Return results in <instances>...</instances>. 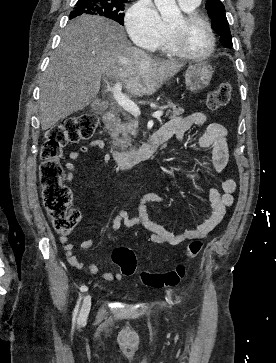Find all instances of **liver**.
<instances>
[{"instance_id": "6515ba94", "label": "liver", "mask_w": 276, "mask_h": 363, "mask_svg": "<svg viewBox=\"0 0 276 363\" xmlns=\"http://www.w3.org/2000/svg\"><path fill=\"white\" fill-rule=\"evenodd\" d=\"M183 63L157 59L133 47L120 25L82 15L65 28L40 83L42 130L84 109L97 96L102 78L123 81L131 95L154 94Z\"/></svg>"}]
</instances>
